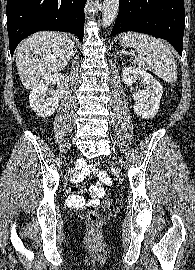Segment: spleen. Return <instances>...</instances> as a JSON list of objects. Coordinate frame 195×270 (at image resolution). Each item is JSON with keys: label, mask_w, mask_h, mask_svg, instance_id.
Returning <instances> with one entry per match:
<instances>
[{"label": "spleen", "mask_w": 195, "mask_h": 270, "mask_svg": "<svg viewBox=\"0 0 195 270\" xmlns=\"http://www.w3.org/2000/svg\"><path fill=\"white\" fill-rule=\"evenodd\" d=\"M120 44L123 48L137 49L138 56L135 58V64L139 68L152 71L167 83L177 81L176 61L164 41L146 34L128 32L122 36Z\"/></svg>", "instance_id": "spleen-1"}]
</instances>
